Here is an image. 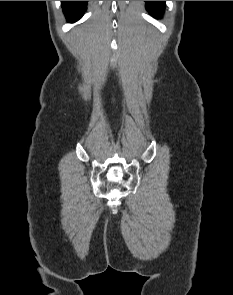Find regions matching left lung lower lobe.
Instances as JSON below:
<instances>
[{
	"instance_id": "1",
	"label": "left lung lower lobe",
	"mask_w": 233,
	"mask_h": 295,
	"mask_svg": "<svg viewBox=\"0 0 233 295\" xmlns=\"http://www.w3.org/2000/svg\"><path fill=\"white\" fill-rule=\"evenodd\" d=\"M147 11L154 17L159 18L164 11L165 1H145Z\"/></svg>"
}]
</instances>
